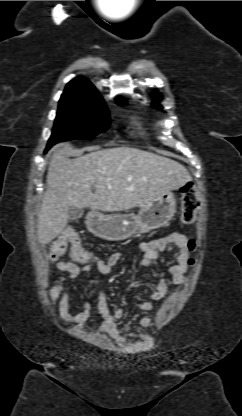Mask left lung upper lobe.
Here are the masks:
<instances>
[{
	"instance_id": "left-lung-upper-lobe-1",
	"label": "left lung upper lobe",
	"mask_w": 242,
	"mask_h": 416,
	"mask_svg": "<svg viewBox=\"0 0 242 416\" xmlns=\"http://www.w3.org/2000/svg\"><path fill=\"white\" fill-rule=\"evenodd\" d=\"M161 98H162V95L161 94H157V92H153V99L156 101V100H161ZM152 107L153 108H159V109H162L161 107H159L157 104H155V103H152Z\"/></svg>"
}]
</instances>
